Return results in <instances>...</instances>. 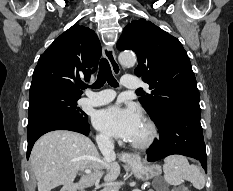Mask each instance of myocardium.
Masks as SVG:
<instances>
[{"label":"myocardium","instance_id":"obj_1","mask_svg":"<svg viewBox=\"0 0 233 191\" xmlns=\"http://www.w3.org/2000/svg\"><path fill=\"white\" fill-rule=\"evenodd\" d=\"M143 122L148 127V136L142 142H130V145L137 150H145L149 148L155 141L157 137V126L156 124L149 118H143Z\"/></svg>","mask_w":233,"mask_h":191}]
</instances>
